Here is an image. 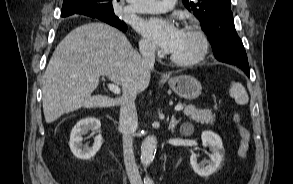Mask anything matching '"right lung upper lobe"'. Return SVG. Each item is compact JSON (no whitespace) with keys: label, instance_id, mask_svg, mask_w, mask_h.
<instances>
[{"label":"right lung upper lobe","instance_id":"cb5924a9","mask_svg":"<svg viewBox=\"0 0 293 184\" xmlns=\"http://www.w3.org/2000/svg\"><path fill=\"white\" fill-rule=\"evenodd\" d=\"M84 2H92L94 4H100L105 9H113L112 0H63L61 16L67 17L73 14H83L91 17H98L85 7Z\"/></svg>","mask_w":293,"mask_h":184}]
</instances>
